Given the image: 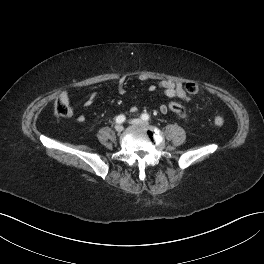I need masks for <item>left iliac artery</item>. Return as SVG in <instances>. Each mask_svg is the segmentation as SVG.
Here are the masks:
<instances>
[{"instance_id":"1","label":"left iliac artery","mask_w":264,"mask_h":264,"mask_svg":"<svg viewBox=\"0 0 264 264\" xmlns=\"http://www.w3.org/2000/svg\"><path fill=\"white\" fill-rule=\"evenodd\" d=\"M141 118H142V120L147 121V120H149L150 116L148 114L144 113L141 115Z\"/></svg>"}]
</instances>
